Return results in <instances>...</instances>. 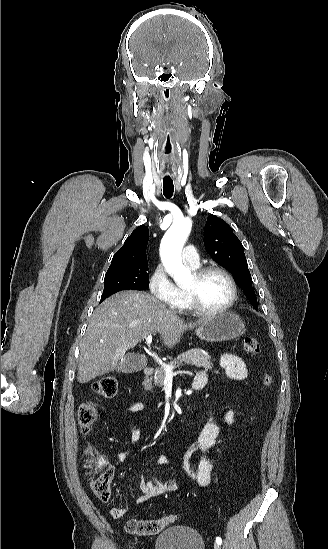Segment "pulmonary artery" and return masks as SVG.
Returning <instances> with one entry per match:
<instances>
[{
	"label": "pulmonary artery",
	"instance_id": "obj_1",
	"mask_svg": "<svg viewBox=\"0 0 328 549\" xmlns=\"http://www.w3.org/2000/svg\"><path fill=\"white\" fill-rule=\"evenodd\" d=\"M200 248L198 246L186 247L183 251V259L185 262L196 263L199 261Z\"/></svg>",
	"mask_w": 328,
	"mask_h": 549
}]
</instances>
